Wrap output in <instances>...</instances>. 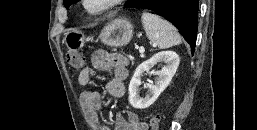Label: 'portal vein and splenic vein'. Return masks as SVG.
<instances>
[{
    "label": "portal vein and splenic vein",
    "mask_w": 257,
    "mask_h": 130,
    "mask_svg": "<svg viewBox=\"0 0 257 130\" xmlns=\"http://www.w3.org/2000/svg\"><path fill=\"white\" fill-rule=\"evenodd\" d=\"M139 52H140V53H144V48L140 47V48H139Z\"/></svg>",
    "instance_id": "18ae733b"
}]
</instances>
